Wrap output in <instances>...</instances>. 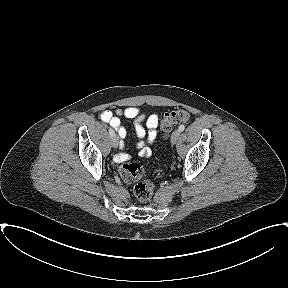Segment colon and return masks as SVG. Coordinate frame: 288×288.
<instances>
[{
    "label": "colon",
    "mask_w": 288,
    "mask_h": 288,
    "mask_svg": "<svg viewBox=\"0 0 288 288\" xmlns=\"http://www.w3.org/2000/svg\"><path fill=\"white\" fill-rule=\"evenodd\" d=\"M190 115L187 111L179 109L164 113L160 118V128L163 133H168L174 126L188 122ZM119 173L121 178L128 183H136L134 186V195L140 202L148 201L154 190V185L149 180H142L144 175L143 167L136 162H124ZM155 177H161V171L154 172Z\"/></svg>",
    "instance_id": "5ec220e1"
}]
</instances>
